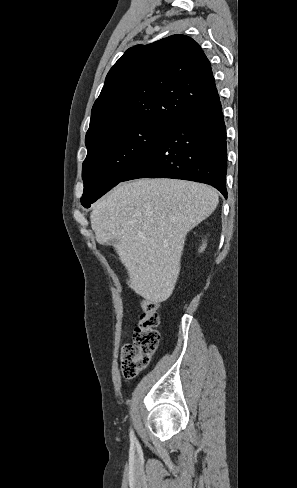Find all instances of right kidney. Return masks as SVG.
Wrapping results in <instances>:
<instances>
[{"mask_svg":"<svg viewBox=\"0 0 297 488\" xmlns=\"http://www.w3.org/2000/svg\"><path fill=\"white\" fill-rule=\"evenodd\" d=\"M205 248H206V243H205V244L203 243V245L201 246V248H200V250H199V251H200V252H203V250H204Z\"/></svg>","mask_w":297,"mask_h":488,"instance_id":"ca27d5eb","label":"right kidney"}]
</instances>
